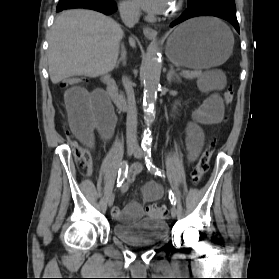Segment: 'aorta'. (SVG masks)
Instances as JSON below:
<instances>
[{
	"label": "aorta",
	"instance_id": "1",
	"mask_svg": "<svg viewBox=\"0 0 279 279\" xmlns=\"http://www.w3.org/2000/svg\"><path fill=\"white\" fill-rule=\"evenodd\" d=\"M158 47H151L146 54L143 67L144 74V112L145 121L150 124L154 120V104L156 102L157 90L160 85V75L162 70V61ZM150 142L149 136L145 139V144Z\"/></svg>",
	"mask_w": 279,
	"mask_h": 279
}]
</instances>
